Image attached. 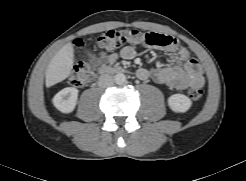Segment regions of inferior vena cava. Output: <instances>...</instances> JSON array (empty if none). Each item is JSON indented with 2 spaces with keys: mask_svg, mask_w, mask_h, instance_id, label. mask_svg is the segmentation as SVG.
Returning <instances> with one entry per match:
<instances>
[{
  "mask_svg": "<svg viewBox=\"0 0 246 181\" xmlns=\"http://www.w3.org/2000/svg\"><path fill=\"white\" fill-rule=\"evenodd\" d=\"M114 78L109 74H103L98 78V85L102 88H108L114 85Z\"/></svg>",
  "mask_w": 246,
  "mask_h": 181,
  "instance_id": "602c4592",
  "label": "inferior vena cava"
}]
</instances>
